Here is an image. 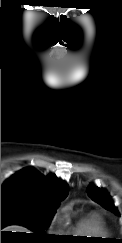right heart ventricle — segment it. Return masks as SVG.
Instances as JSON below:
<instances>
[{
    "label": "right heart ventricle",
    "mask_w": 122,
    "mask_h": 243,
    "mask_svg": "<svg viewBox=\"0 0 122 243\" xmlns=\"http://www.w3.org/2000/svg\"><path fill=\"white\" fill-rule=\"evenodd\" d=\"M66 217L69 216V210H65ZM72 231L84 236H102L107 234V230L104 222L95 214H89L82 216Z\"/></svg>",
    "instance_id": "obj_1"
}]
</instances>
